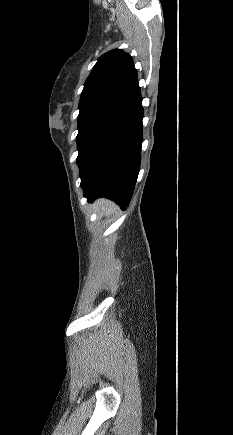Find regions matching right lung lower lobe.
<instances>
[{
	"instance_id": "right-lung-lower-lobe-1",
	"label": "right lung lower lobe",
	"mask_w": 233,
	"mask_h": 435,
	"mask_svg": "<svg viewBox=\"0 0 233 435\" xmlns=\"http://www.w3.org/2000/svg\"><path fill=\"white\" fill-rule=\"evenodd\" d=\"M143 107L140 102L116 124L79 165L84 196L107 197L125 209L141 162Z\"/></svg>"
}]
</instances>
